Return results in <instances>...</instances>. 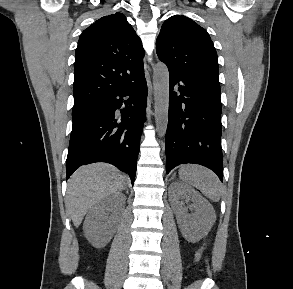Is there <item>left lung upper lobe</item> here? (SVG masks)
<instances>
[{"label": "left lung upper lobe", "instance_id": "5c2ea615", "mask_svg": "<svg viewBox=\"0 0 293 289\" xmlns=\"http://www.w3.org/2000/svg\"><path fill=\"white\" fill-rule=\"evenodd\" d=\"M156 52L169 73L220 87L213 42L205 29L186 16L174 15L163 23Z\"/></svg>", "mask_w": 293, "mask_h": 289}]
</instances>
